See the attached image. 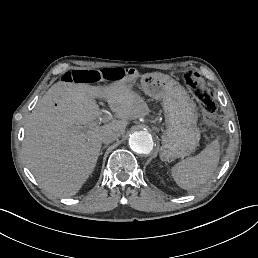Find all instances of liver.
<instances>
[{"label":"liver","mask_w":258,"mask_h":258,"mask_svg":"<svg viewBox=\"0 0 258 258\" xmlns=\"http://www.w3.org/2000/svg\"><path fill=\"white\" fill-rule=\"evenodd\" d=\"M152 73L144 74V76ZM127 76L108 86L59 81L36 104L25 124L23 156L37 182L58 197L75 195L94 170L106 130L125 133L129 119L146 116L144 99L132 91ZM96 98H104L121 120L101 127ZM76 125H86L85 131Z\"/></svg>","instance_id":"1"}]
</instances>
